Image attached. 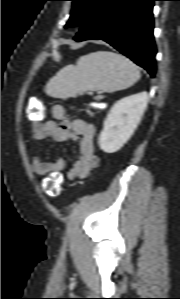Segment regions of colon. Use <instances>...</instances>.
I'll use <instances>...</instances> for the list:
<instances>
[{
  "label": "colon",
  "mask_w": 180,
  "mask_h": 299,
  "mask_svg": "<svg viewBox=\"0 0 180 299\" xmlns=\"http://www.w3.org/2000/svg\"><path fill=\"white\" fill-rule=\"evenodd\" d=\"M45 110L41 109L37 101H32L28 109V115L38 120H42L45 116ZM41 187L50 197H57L63 187V178L59 173H53L43 178Z\"/></svg>",
  "instance_id": "obj_1"
}]
</instances>
